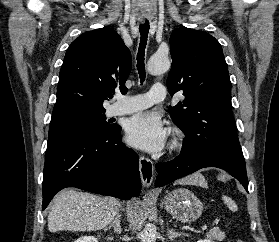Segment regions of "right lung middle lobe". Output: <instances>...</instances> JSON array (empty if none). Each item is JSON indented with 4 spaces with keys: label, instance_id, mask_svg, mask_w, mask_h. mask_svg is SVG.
Returning a JSON list of instances; mask_svg holds the SVG:
<instances>
[{
    "label": "right lung middle lobe",
    "instance_id": "1",
    "mask_svg": "<svg viewBox=\"0 0 279 242\" xmlns=\"http://www.w3.org/2000/svg\"><path fill=\"white\" fill-rule=\"evenodd\" d=\"M104 112L75 110L52 115L47 147L77 138H95L111 132L116 125L106 122Z\"/></svg>",
    "mask_w": 279,
    "mask_h": 242
}]
</instances>
